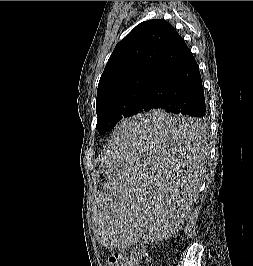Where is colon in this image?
Listing matches in <instances>:
<instances>
[{
	"label": "colon",
	"mask_w": 253,
	"mask_h": 266,
	"mask_svg": "<svg viewBox=\"0 0 253 266\" xmlns=\"http://www.w3.org/2000/svg\"><path fill=\"white\" fill-rule=\"evenodd\" d=\"M109 266H126L125 259L118 253H113L108 259Z\"/></svg>",
	"instance_id": "colon-1"
}]
</instances>
